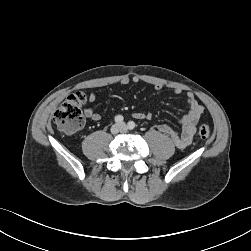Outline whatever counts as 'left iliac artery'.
Listing matches in <instances>:
<instances>
[{"mask_svg":"<svg viewBox=\"0 0 251 251\" xmlns=\"http://www.w3.org/2000/svg\"><path fill=\"white\" fill-rule=\"evenodd\" d=\"M127 126H128V129L133 130L136 125L133 121H130V122H128Z\"/></svg>","mask_w":251,"mask_h":251,"instance_id":"1","label":"left iliac artery"}]
</instances>
